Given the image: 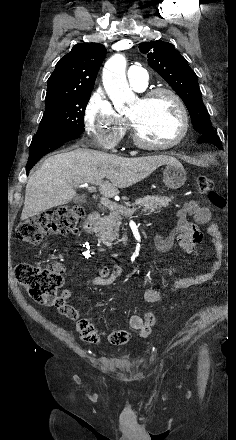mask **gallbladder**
Instances as JSON below:
<instances>
[{
  "mask_svg": "<svg viewBox=\"0 0 236 440\" xmlns=\"http://www.w3.org/2000/svg\"><path fill=\"white\" fill-rule=\"evenodd\" d=\"M81 200H82V198H81L80 196H77V197L74 198V201H75V202H79V201H81Z\"/></svg>",
  "mask_w": 236,
  "mask_h": 440,
  "instance_id": "gallbladder-1",
  "label": "gallbladder"
}]
</instances>
